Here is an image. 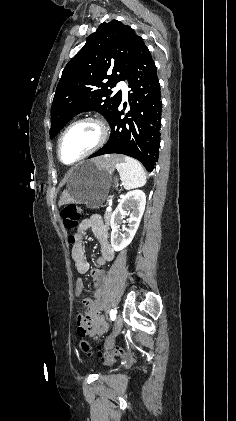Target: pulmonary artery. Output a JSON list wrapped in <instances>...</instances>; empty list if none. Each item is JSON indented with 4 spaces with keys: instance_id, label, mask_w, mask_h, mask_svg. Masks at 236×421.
<instances>
[{
    "instance_id": "1",
    "label": "pulmonary artery",
    "mask_w": 236,
    "mask_h": 421,
    "mask_svg": "<svg viewBox=\"0 0 236 421\" xmlns=\"http://www.w3.org/2000/svg\"><path fill=\"white\" fill-rule=\"evenodd\" d=\"M122 94H123V100L127 101L128 100V88L127 87H122Z\"/></svg>"
}]
</instances>
